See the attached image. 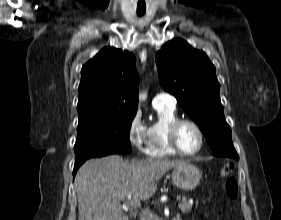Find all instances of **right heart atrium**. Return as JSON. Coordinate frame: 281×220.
Listing matches in <instances>:
<instances>
[{
    "label": "right heart atrium",
    "mask_w": 281,
    "mask_h": 220,
    "mask_svg": "<svg viewBox=\"0 0 281 220\" xmlns=\"http://www.w3.org/2000/svg\"><path fill=\"white\" fill-rule=\"evenodd\" d=\"M147 128L142 120L141 113L137 111L130 120L128 139L132 146L143 151L146 143Z\"/></svg>",
    "instance_id": "d8ad5b80"
}]
</instances>
